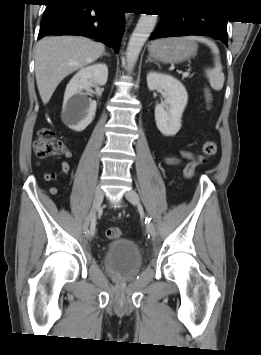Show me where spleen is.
<instances>
[{
  "label": "spleen",
  "mask_w": 261,
  "mask_h": 355,
  "mask_svg": "<svg viewBox=\"0 0 261 355\" xmlns=\"http://www.w3.org/2000/svg\"><path fill=\"white\" fill-rule=\"evenodd\" d=\"M186 38L192 41H199L210 47L214 55V67L211 69H207L205 71V74L210 83V86L214 90L220 91L223 88L225 77H224V73L222 72V65L220 62L219 49L217 45L214 42L202 36H187Z\"/></svg>",
  "instance_id": "1"
}]
</instances>
